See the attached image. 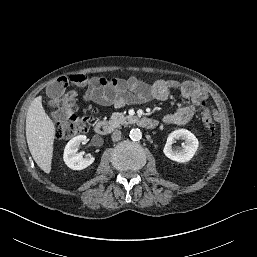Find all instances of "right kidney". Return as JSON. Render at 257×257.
Returning <instances> with one entry per match:
<instances>
[{"label": "right kidney", "instance_id": "right-kidney-1", "mask_svg": "<svg viewBox=\"0 0 257 257\" xmlns=\"http://www.w3.org/2000/svg\"><path fill=\"white\" fill-rule=\"evenodd\" d=\"M85 135H78L72 138L64 149L63 160L65 164L73 170H82L90 166L94 162V157L83 158L81 153H78L80 143H86Z\"/></svg>", "mask_w": 257, "mask_h": 257}]
</instances>
